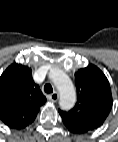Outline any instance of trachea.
<instances>
[{"label": "trachea", "mask_w": 118, "mask_h": 142, "mask_svg": "<svg viewBox=\"0 0 118 142\" xmlns=\"http://www.w3.org/2000/svg\"><path fill=\"white\" fill-rule=\"evenodd\" d=\"M44 91H45L47 94L52 93V92H53V87H52V85H51V84H46V85L44 86Z\"/></svg>", "instance_id": "trachea-1"}]
</instances>
